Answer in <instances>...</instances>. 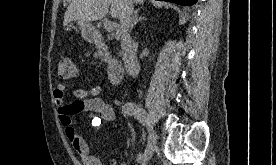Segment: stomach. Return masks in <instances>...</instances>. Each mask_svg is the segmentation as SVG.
I'll return each mask as SVG.
<instances>
[{
    "label": "stomach",
    "instance_id": "1",
    "mask_svg": "<svg viewBox=\"0 0 276 165\" xmlns=\"http://www.w3.org/2000/svg\"><path fill=\"white\" fill-rule=\"evenodd\" d=\"M78 25L80 27L82 37L86 41H89V42L94 41V39L96 38L97 32L95 28L92 26V24L87 21L85 22L78 21Z\"/></svg>",
    "mask_w": 276,
    "mask_h": 165
}]
</instances>
